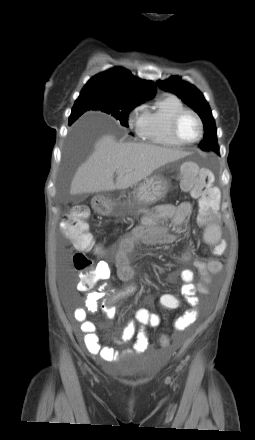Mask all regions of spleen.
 <instances>
[{
	"label": "spleen",
	"mask_w": 255,
	"mask_h": 440,
	"mask_svg": "<svg viewBox=\"0 0 255 440\" xmlns=\"http://www.w3.org/2000/svg\"><path fill=\"white\" fill-rule=\"evenodd\" d=\"M221 237V230L216 225L208 226L203 234V239L206 243L216 244Z\"/></svg>",
	"instance_id": "1"
}]
</instances>
